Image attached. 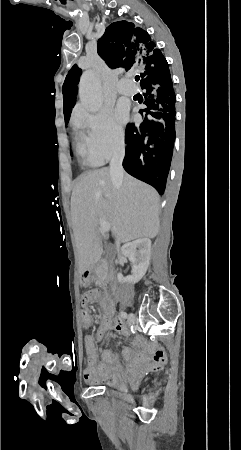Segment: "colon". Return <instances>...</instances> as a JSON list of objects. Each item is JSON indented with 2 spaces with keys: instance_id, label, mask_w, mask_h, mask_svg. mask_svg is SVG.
<instances>
[{
  "instance_id": "obj_1",
  "label": "colon",
  "mask_w": 241,
  "mask_h": 450,
  "mask_svg": "<svg viewBox=\"0 0 241 450\" xmlns=\"http://www.w3.org/2000/svg\"><path fill=\"white\" fill-rule=\"evenodd\" d=\"M79 323L84 325L85 327H92L93 326V315L87 314V313H80L79 314Z\"/></svg>"
}]
</instances>
